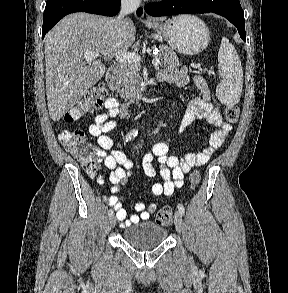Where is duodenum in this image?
<instances>
[{"mask_svg":"<svg viewBox=\"0 0 288 293\" xmlns=\"http://www.w3.org/2000/svg\"><path fill=\"white\" fill-rule=\"evenodd\" d=\"M106 81L110 88H114L117 83V69L116 67L112 66L107 70L106 73ZM136 107H141L143 105L142 101H136L134 102Z\"/></svg>","mask_w":288,"mask_h":293,"instance_id":"obj_1","label":"duodenum"}]
</instances>
